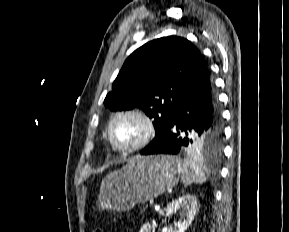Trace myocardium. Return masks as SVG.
<instances>
[{"instance_id": "f54148a6", "label": "myocardium", "mask_w": 289, "mask_h": 232, "mask_svg": "<svg viewBox=\"0 0 289 232\" xmlns=\"http://www.w3.org/2000/svg\"><path fill=\"white\" fill-rule=\"evenodd\" d=\"M135 117L137 118L144 126V133L142 137L134 144L131 145H120L118 144L113 137V126L114 123L122 117ZM157 133V126L153 119V117L147 113L146 111L140 108H127L116 112L111 118L108 128H107V136L111 145L119 151L122 152H133L140 150L147 146L155 137Z\"/></svg>"}]
</instances>
